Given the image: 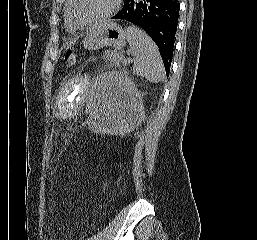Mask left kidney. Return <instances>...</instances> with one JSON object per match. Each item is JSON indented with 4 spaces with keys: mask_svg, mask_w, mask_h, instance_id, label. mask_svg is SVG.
<instances>
[{
    "mask_svg": "<svg viewBox=\"0 0 257 240\" xmlns=\"http://www.w3.org/2000/svg\"><path fill=\"white\" fill-rule=\"evenodd\" d=\"M87 112L95 132L124 135L141 123L143 99L125 73L106 72L93 82Z\"/></svg>",
    "mask_w": 257,
    "mask_h": 240,
    "instance_id": "5707ae66",
    "label": "left kidney"
}]
</instances>
